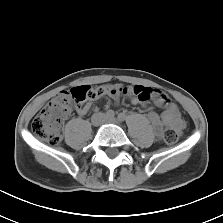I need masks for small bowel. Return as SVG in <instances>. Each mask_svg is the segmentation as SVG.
<instances>
[{
    "label": "small bowel",
    "instance_id": "small-bowel-1",
    "mask_svg": "<svg viewBox=\"0 0 223 223\" xmlns=\"http://www.w3.org/2000/svg\"><path fill=\"white\" fill-rule=\"evenodd\" d=\"M127 94L131 95L132 93L131 91H128ZM153 95L155 104L164 108L162 113L151 111L148 114V119L153 125L156 133L160 134L165 127H171L177 131H181L184 128V121L182 120L176 105L166 95L162 94L158 90H155ZM113 99L117 102V96L113 95ZM131 101L134 105H141L144 108L148 107L147 102H141L136 97H133ZM91 108L92 103L89 102L82 108L78 109L77 112L80 115H85Z\"/></svg>",
    "mask_w": 223,
    "mask_h": 223
}]
</instances>
